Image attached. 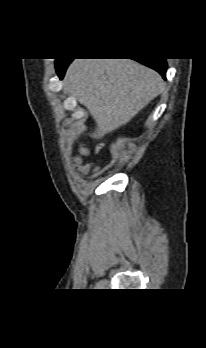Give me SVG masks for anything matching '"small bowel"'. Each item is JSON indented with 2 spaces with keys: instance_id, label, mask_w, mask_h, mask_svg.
<instances>
[{
  "instance_id": "c3829d8e",
  "label": "small bowel",
  "mask_w": 206,
  "mask_h": 348,
  "mask_svg": "<svg viewBox=\"0 0 206 348\" xmlns=\"http://www.w3.org/2000/svg\"><path fill=\"white\" fill-rule=\"evenodd\" d=\"M96 166L95 165H84V166H81L79 168V170L82 172V173H92L96 170Z\"/></svg>"
}]
</instances>
